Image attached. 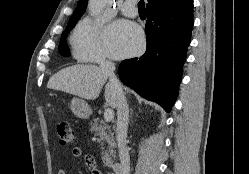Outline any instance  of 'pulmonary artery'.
Instances as JSON below:
<instances>
[{
  "instance_id": "1",
  "label": "pulmonary artery",
  "mask_w": 249,
  "mask_h": 174,
  "mask_svg": "<svg viewBox=\"0 0 249 174\" xmlns=\"http://www.w3.org/2000/svg\"><path fill=\"white\" fill-rule=\"evenodd\" d=\"M121 11L127 17H137L138 11L136 8V0H126L121 6Z\"/></svg>"
}]
</instances>
